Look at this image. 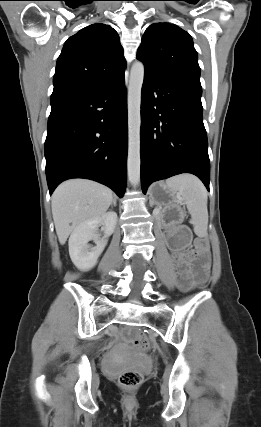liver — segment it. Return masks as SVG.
Here are the masks:
<instances>
[{"mask_svg": "<svg viewBox=\"0 0 261 427\" xmlns=\"http://www.w3.org/2000/svg\"><path fill=\"white\" fill-rule=\"evenodd\" d=\"M113 200L112 190L91 180L72 179L52 195V215L61 245L79 224L105 214Z\"/></svg>", "mask_w": 261, "mask_h": 427, "instance_id": "liver-1", "label": "liver"}]
</instances>
